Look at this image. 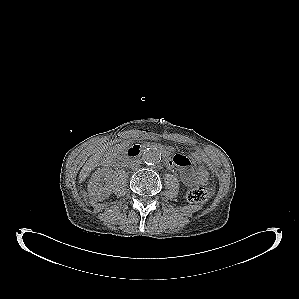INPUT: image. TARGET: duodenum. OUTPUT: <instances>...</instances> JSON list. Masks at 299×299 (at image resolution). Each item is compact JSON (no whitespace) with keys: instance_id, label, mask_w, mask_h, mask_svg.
Returning a JSON list of instances; mask_svg holds the SVG:
<instances>
[{"instance_id":"1","label":"duodenum","mask_w":299,"mask_h":299,"mask_svg":"<svg viewBox=\"0 0 299 299\" xmlns=\"http://www.w3.org/2000/svg\"><path fill=\"white\" fill-rule=\"evenodd\" d=\"M142 146L140 145H133L124 151L118 158V164H126L128 161L137 158L142 152ZM165 161L168 166H171V159L168 156H165Z\"/></svg>"}]
</instances>
